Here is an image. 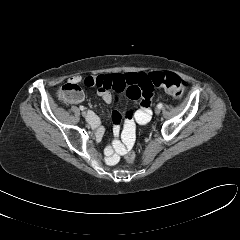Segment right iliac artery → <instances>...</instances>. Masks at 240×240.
<instances>
[{
	"label": "right iliac artery",
	"instance_id": "1",
	"mask_svg": "<svg viewBox=\"0 0 240 240\" xmlns=\"http://www.w3.org/2000/svg\"><path fill=\"white\" fill-rule=\"evenodd\" d=\"M79 108H80V110H84L85 109L84 106H82V105Z\"/></svg>",
	"mask_w": 240,
	"mask_h": 240
}]
</instances>
